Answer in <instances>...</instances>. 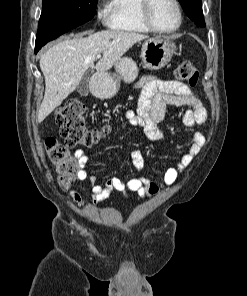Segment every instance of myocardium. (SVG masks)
<instances>
[{"label": "myocardium", "mask_w": 247, "mask_h": 296, "mask_svg": "<svg viewBox=\"0 0 247 296\" xmlns=\"http://www.w3.org/2000/svg\"><path fill=\"white\" fill-rule=\"evenodd\" d=\"M171 1L175 6L178 21H177V24L173 28L164 30V29L158 28L152 20L151 7H152L153 0H141V6H140L141 18H142L143 22L145 23V25L151 31H153L155 33H159V34H171V33L176 32L181 27L182 21H183L181 5L178 0H171Z\"/></svg>", "instance_id": "f54148a6"}]
</instances>
